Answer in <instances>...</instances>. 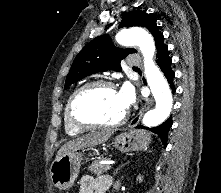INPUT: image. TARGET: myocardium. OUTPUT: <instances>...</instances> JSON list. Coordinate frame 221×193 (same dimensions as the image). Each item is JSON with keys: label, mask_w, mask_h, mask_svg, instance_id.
I'll use <instances>...</instances> for the list:
<instances>
[{"label": "myocardium", "mask_w": 221, "mask_h": 193, "mask_svg": "<svg viewBox=\"0 0 221 193\" xmlns=\"http://www.w3.org/2000/svg\"><path fill=\"white\" fill-rule=\"evenodd\" d=\"M96 87H106L109 89L116 90V86L113 82L103 79H98L94 81L87 82L83 84L81 87H79L73 95L70 97L68 102V112L70 119L72 122L77 125L78 127L85 128V129H96V128H117L121 125H123L127 119H128V111L125 112V114L114 122H101V121H89V120H83L79 118V116L76 113V106L81 98L82 95H84L87 91L96 88Z\"/></svg>", "instance_id": "obj_1"}]
</instances>
